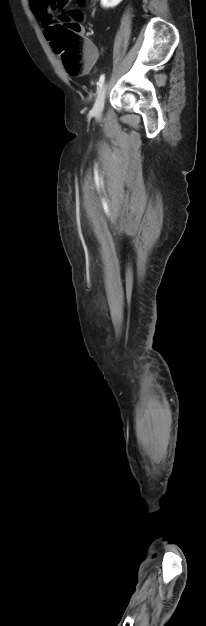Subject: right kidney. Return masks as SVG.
Listing matches in <instances>:
<instances>
[{
	"mask_svg": "<svg viewBox=\"0 0 206 626\" xmlns=\"http://www.w3.org/2000/svg\"><path fill=\"white\" fill-rule=\"evenodd\" d=\"M122 0H101V6L103 8H114L116 7Z\"/></svg>",
	"mask_w": 206,
	"mask_h": 626,
	"instance_id": "ca27d5eb",
	"label": "right kidney"
}]
</instances>
